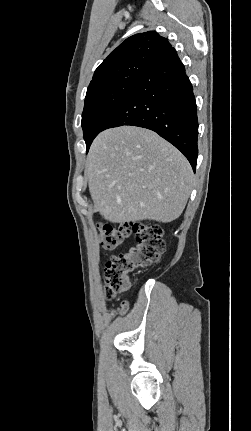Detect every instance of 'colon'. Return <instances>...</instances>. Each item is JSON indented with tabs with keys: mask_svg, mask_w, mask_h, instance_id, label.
I'll return each instance as SVG.
<instances>
[{
	"mask_svg": "<svg viewBox=\"0 0 251 431\" xmlns=\"http://www.w3.org/2000/svg\"><path fill=\"white\" fill-rule=\"evenodd\" d=\"M136 235V244L128 251L112 257L104 269L105 290L112 298L126 290L130 275L137 269L157 262L165 250L163 229L152 223L99 225L100 243L105 249L113 250L120 246L131 233ZM127 303L122 302L114 312L124 314Z\"/></svg>",
	"mask_w": 251,
	"mask_h": 431,
	"instance_id": "obj_1",
	"label": "colon"
}]
</instances>
